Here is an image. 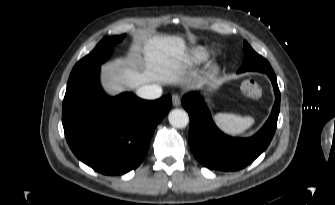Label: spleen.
<instances>
[{
	"label": "spleen",
	"mask_w": 335,
	"mask_h": 205,
	"mask_svg": "<svg viewBox=\"0 0 335 205\" xmlns=\"http://www.w3.org/2000/svg\"><path fill=\"white\" fill-rule=\"evenodd\" d=\"M214 119L218 126L230 135H242L255 122L252 117H241L235 114H216Z\"/></svg>",
	"instance_id": "spleen-1"
}]
</instances>
